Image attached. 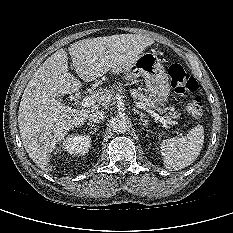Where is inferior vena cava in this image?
<instances>
[{"label": "inferior vena cava", "instance_id": "obj_1", "mask_svg": "<svg viewBox=\"0 0 233 233\" xmlns=\"http://www.w3.org/2000/svg\"><path fill=\"white\" fill-rule=\"evenodd\" d=\"M105 118H106V113L103 110H99V109L91 111L90 114L88 115V120L94 123H100L104 121Z\"/></svg>", "mask_w": 233, "mask_h": 233}]
</instances>
